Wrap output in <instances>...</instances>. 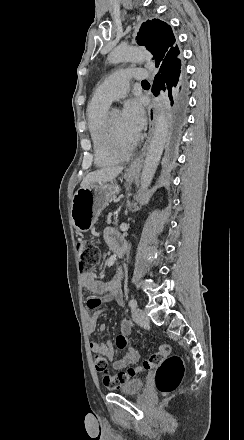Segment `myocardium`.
<instances>
[{
    "mask_svg": "<svg viewBox=\"0 0 244 440\" xmlns=\"http://www.w3.org/2000/svg\"><path fill=\"white\" fill-rule=\"evenodd\" d=\"M116 110H118V109H115V108L108 109V111L106 112L105 117H104V125L101 126V129L106 131V132L102 133V136H103L102 140L106 142L104 144L106 147H110V146L112 147L114 145L112 143V141H113V136L116 132L113 130V128L111 126L110 117H111V114ZM117 145L120 147L121 146H128V145H130V142L126 139H123V141L121 143L117 142Z\"/></svg>",
    "mask_w": 244,
    "mask_h": 440,
    "instance_id": "myocardium-1",
    "label": "myocardium"
}]
</instances>
